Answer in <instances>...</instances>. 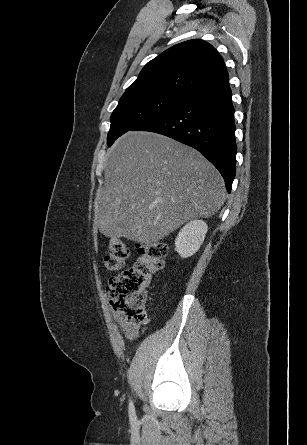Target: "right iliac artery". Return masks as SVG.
I'll list each match as a JSON object with an SVG mask.
<instances>
[{
    "label": "right iliac artery",
    "instance_id": "obj_1",
    "mask_svg": "<svg viewBox=\"0 0 307 445\" xmlns=\"http://www.w3.org/2000/svg\"><path fill=\"white\" fill-rule=\"evenodd\" d=\"M129 416H130L131 420L136 419L135 408H134L132 401H130V403H129Z\"/></svg>",
    "mask_w": 307,
    "mask_h": 445
}]
</instances>
